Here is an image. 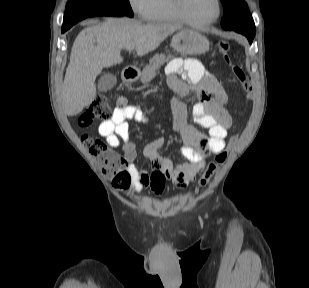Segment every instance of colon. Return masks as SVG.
Masks as SVG:
<instances>
[{
    "mask_svg": "<svg viewBox=\"0 0 309 288\" xmlns=\"http://www.w3.org/2000/svg\"><path fill=\"white\" fill-rule=\"evenodd\" d=\"M219 49L223 54L226 62L229 64L231 71L240 83L246 98H250L253 86L250 77L247 75L242 64L234 61L230 53V45L227 42H220ZM113 106L105 94H99L93 102L83 111L78 119V125L88 127L94 121L108 119L113 114ZM237 135L230 137L226 148L215 155L213 161L209 162L200 179V186L204 187L210 176L216 171L227 159L229 152L236 144ZM83 143L89 149L90 153L95 156L101 165L102 172L108 175L114 187L118 189L128 188L131 184V175L125 168L126 162L117 153L111 151L107 145L98 138L83 136Z\"/></svg>",
    "mask_w": 309,
    "mask_h": 288,
    "instance_id": "colon-1",
    "label": "colon"
}]
</instances>
